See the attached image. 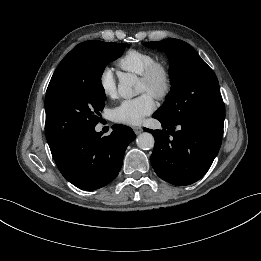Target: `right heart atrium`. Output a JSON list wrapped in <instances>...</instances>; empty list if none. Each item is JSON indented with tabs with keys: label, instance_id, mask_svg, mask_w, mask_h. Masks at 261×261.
I'll use <instances>...</instances> for the list:
<instances>
[{
	"label": "right heart atrium",
	"instance_id": "right-heart-atrium-1",
	"mask_svg": "<svg viewBox=\"0 0 261 261\" xmlns=\"http://www.w3.org/2000/svg\"><path fill=\"white\" fill-rule=\"evenodd\" d=\"M98 84L102 93L106 97H113L117 92V81L114 71L109 67H104L98 77Z\"/></svg>",
	"mask_w": 261,
	"mask_h": 261
}]
</instances>
